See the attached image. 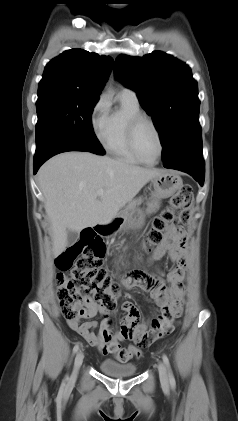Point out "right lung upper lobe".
Here are the masks:
<instances>
[{"label":"right lung upper lobe","mask_w":238,"mask_h":421,"mask_svg":"<svg viewBox=\"0 0 238 421\" xmlns=\"http://www.w3.org/2000/svg\"><path fill=\"white\" fill-rule=\"evenodd\" d=\"M113 59L83 49H71L45 67L38 89L55 88L100 95L110 74Z\"/></svg>","instance_id":"right-lung-upper-lobe-1"}]
</instances>
